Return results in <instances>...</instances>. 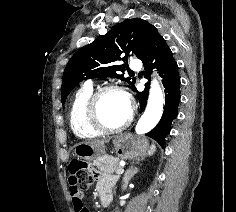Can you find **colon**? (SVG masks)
Returning <instances> with one entry per match:
<instances>
[{
  "mask_svg": "<svg viewBox=\"0 0 236 212\" xmlns=\"http://www.w3.org/2000/svg\"><path fill=\"white\" fill-rule=\"evenodd\" d=\"M70 175H78L79 182H81L82 185H87L88 188L96 178V171L87 163L74 160L70 164Z\"/></svg>",
  "mask_w": 236,
  "mask_h": 212,
  "instance_id": "colon-1",
  "label": "colon"
}]
</instances>
